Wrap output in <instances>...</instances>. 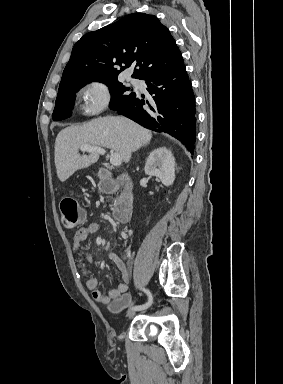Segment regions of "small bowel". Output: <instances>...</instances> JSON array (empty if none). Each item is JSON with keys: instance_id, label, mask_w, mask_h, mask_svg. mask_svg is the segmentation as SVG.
<instances>
[{"instance_id": "1", "label": "small bowel", "mask_w": 283, "mask_h": 384, "mask_svg": "<svg viewBox=\"0 0 283 384\" xmlns=\"http://www.w3.org/2000/svg\"><path fill=\"white\" fill-rule=\"evenodd\" d=\"M100 230V225L97 223H89L85 226L81 227L74 235L72 239V248L73 253L76 258L80 256V250L82 243L92 234L97 233ZM87 259L91 260L90 255H87ZM109 260L116 265L120 274H121V282L114 288L107 291V293H103L98 289V281L95 277L90 276L86 270H82V274L86 276V287L90 290L92 294V298L104 305L110 304L115 299L119 298L123 295L129 287L130 283V272L126 262L116 253L109 254Z\"/></svg>"}]
</instances>
